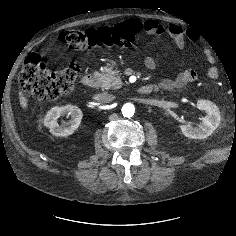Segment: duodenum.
Returning a JSON list of instances; mask_svg holds the SVG:
<instances>
[{
    "instance_id": "410a0bca",
    "label": "duodenum",
    "mask_w": 236,
    "mask_h": 236,
    "mask_svg": "<svg viewBox=\"0 0 236 236\" xmlns=\"http://www.w3.org/2000/svg\"><path fill=\"white\" fill-rule=\"evenodd\" d=\"M96 77L93 74H87L83 77L82 83L85 87L93 88L96 85ZM153 90L151 85H145L138 89V91L142 94H148Z\"/></svg>"
}]
</instances>
